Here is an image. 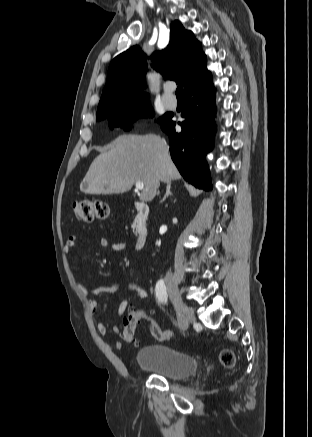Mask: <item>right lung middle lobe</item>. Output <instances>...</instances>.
<instances>
[{"label": "right lung middle lobe", "mask_w": 312, "mask_h": 437, "mask_svg": "<svg viewBox=\"0 0 312 437\" xmlns=\"http://www.w3.org/2000/svg\"><path fill=\"white\" fill-rule=\"evenodd\" d=\"M154 112L149 102L140 103V104H130L125 105L109 115L103 117H97V120H103L108 118V122L110 128L113 127H121L125 130H129L131 128V122L136 120L139 117H148L153 116ZM169 115L165 114L162 118L158 120L160 124H163L169 119Z\"/></svg>", "instance_id": "dd1d6c3e"}]
</instances>
